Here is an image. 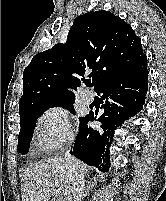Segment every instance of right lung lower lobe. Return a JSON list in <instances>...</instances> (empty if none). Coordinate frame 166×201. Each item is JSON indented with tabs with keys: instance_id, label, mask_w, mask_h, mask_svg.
Returning a JSON list of instances; mask_svg holds the SVG:
<instances>
[{
	"instance_id": "1",
	"label": "right lung lower lobe",
	"mask_w": 166,
	"mask_h": 201,
	"mask_svg": "<svg viewBox=\"0 0 166 201\" xmlns=\"http://www.w3.org/2000/svg\"><path fill=\"white\" fill-rule=\"evenodd\" d=\"M147 90L146 55L135 65L106 78L95 90L98 95L102 94L101 108L104 113L98 119L101 125L96 130L88 127L87 122L94 120V113L86 116L80 124L77 140L70 153L100 171H107L110 163L109 141H112L114 130L125 119L143 109Z\"/></svg>"
}]
</instances>
